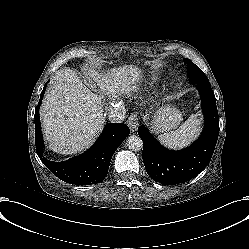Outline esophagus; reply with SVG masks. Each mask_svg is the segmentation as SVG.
Returning <instances> with one entry per match:
<instances>
[{
  "instance_id": "34e87169",
  "label": "esophagus",
  "mask_w": 249,
  "mask_h": 249,
  "mask_svg": "<svg viewBox=\"0 0 249 249\" xmlns=\"http://www.w3.org/2000/svg\"><path fill=\"white\" fill-rule=\"evenodd\" d=\"M128 126L131 130V132H135L139 126V123H138V118H137V115L136 114H131L128 118Z\"/></svg>"
}]
</instances>
